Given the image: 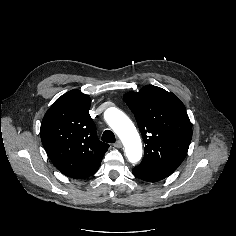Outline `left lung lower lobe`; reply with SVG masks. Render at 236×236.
Wrapping results in <instances>:
<instances>
[{
  "label": "left lung lower lobe",
  "instance_id": "left-lung-lower-lobe-1",
  "mask_svg": "<svg viewBox=\"0 0 236 236\" xmlns=\"http://www.w3.org/2000/svg\"><path fill=\"white\" fill-rule=\"evenodd\" d=\"M132 173L134 176L138 177L139 179H142L148 182H157L166 178L163 175H160L158 173L151 171L147 166L140 165V164L132 170Z\"/></svg>",
  "mask_w": 236,
  "mask_h": 236
}]
</instances>
